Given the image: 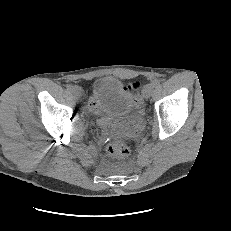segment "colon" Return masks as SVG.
Instances as JSON below:
<instances>
[{
	"mask_svg": "<svg viewBox=\"0 0 231 231\" xmlns=\"http://www.w3.org/2000/svg\"><path fill=\"white\" fill-rule=\"evenodd\" d=\"M133 87L136 88L137 84H134ZM106 151L111 156L126 157L130 153V148L125 142L116 140L107 146Z\"/></svg>",
	"mask_w": 231,
	"mask_h": 231,
	"instance_id": "1",
	"label": "colon"
}]
</instances>
